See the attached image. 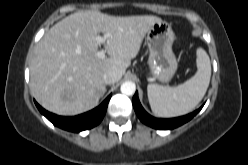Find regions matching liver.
<instances>
[{
	"mask_svg": "<svg viewBox=\"0 0 248 165\" xmlns=\"http://www.w3.org/2000/svg\"><path fill=\"white\" fill-rule=\"evenodd\" d=\"M156 16H110L80 11L57 22L38 42L30 65L32 96L46 110L77 115L97 106L112 71L120 80L140 50ZM110 33L102 44L108 58L100 59L101 43L94 37Z\"/></svg>",
	"mask_w": 248,
	"mask_h": 165,
	"instance_id": "6515ba94",
	"label": "liver"
}]
</instances>
